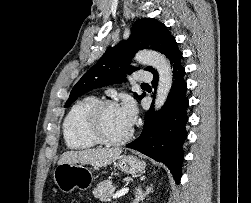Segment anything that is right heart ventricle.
I'll list each match as a JSON object with an SVG mask.
<instances>
[{
	"label": "right heart ventricle",
	"instance_id": "1",
	"mask_svg": "<svg viewBox=\"0 0 251 203\" xmlns=\"http://www.w3.org/2000/svg\"><path fill=\"white\" fill-rule=\"evenodd\" d=\"M97 102L95 96H86L68 110L63 122V136L68 148L87 150L98 144L86 130L87 115Z\"/></svg>",
	"mask_w": 251,
	"mask_h": 203
}]
</instances>
